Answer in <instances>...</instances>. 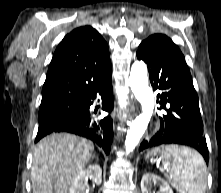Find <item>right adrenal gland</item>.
I'll return each instance as SVG.
<instances>
[{"label":"right adrenal gland","mask_w":221,"mask_h":193,"mask_svg":"<svg viewBox=\"0 0 221 193\" xmlns=\"http://www.w3.org/2000/svg\"><path fill=\"white\" fill-rule=\"evenodd\" d=\"M93 158H96L98 160V158L95 155H93Z\"/></svg>","instance_id":"right-adrenal-gland-1"}]
</instances>
